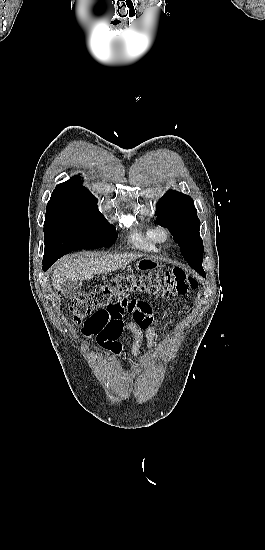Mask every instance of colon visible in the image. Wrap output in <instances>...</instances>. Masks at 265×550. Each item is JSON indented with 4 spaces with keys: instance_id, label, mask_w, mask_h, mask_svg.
I'll return each instance as SVG.
<instances>
[{
    "instance_id": "colon-1",
    "label": "colon",
    "mask_w": 265,
    "mask_h": 550,
    "mask_svg": "<svg viewBox=\"0 0 265 550\" xmlns=\"http://www.w3.org/2000/svg\"><path fill=\"white\" fill-rule=\"evenodd\" d=\"M198 282L183 269L159 270L148 273L121 274L108 284H100L78 296L70 306L75 323L85 321L86 327L98 339H112L116 334L115 320L125 312L133 314L135 324H149L137 310L143 303L129 297L135 294L172 298L196 289ZM147 304V303H146Z\"/></svg>"
}]
</instances>
